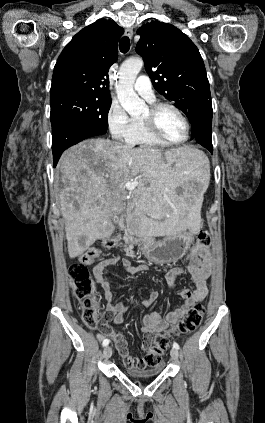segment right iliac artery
I'll use <instances>...</instances> for the list:
<instances>
[{
  "label": "right iliac artery",
  "mask_w": 265,
  "mask_h": 423,
  "mask_svg": "<svg viewBox=\"0 0 265 423\" xmlns=\"http://www.w3.org/2000/svg\"><path fill=\"white\" fill-rule=\"evenodd\" d=\"M109 342H110L109 339H104L103 342H102V345L107 346L109 344Z\"/></svg>",
  "instance_id": "1"
}]
</instances>
